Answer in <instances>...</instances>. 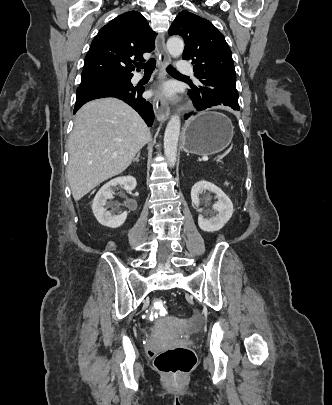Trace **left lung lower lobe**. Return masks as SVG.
Masks as SVG:
<instances>
[{
  "instance_id": "1",
  "label": "left lung lower lobe",
  "mask_w": 332,
  "mask_h": 405,
  "mask_svg": "<svg viewBox=\"0 0 332 405\" xmlns=\"http://www.w3.org/2000/svg\"><path fill=\"white\" fill-rule=\"evenodd\" d=\"M189 94H190V92H189ZM190 96L192 97L193 103H194L197 111L205 110L204 106L201 104L200 100L197 97H194L191 94H190ZM189 116H190L189 114L186 115L185 119H187Z\"/></svg>"
}]
</instances>
